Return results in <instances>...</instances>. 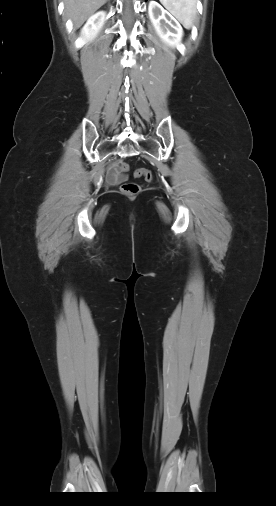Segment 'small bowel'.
<instances>
[{"label": "small bowel", "mask_w": 276, "mask_h": 506, "mask_svg": "<svg viewBox=\"0 0 276 506\" xmlns=\"http://www.w3.org/2000/svg\"><path fill=\"white\" fill-rule=\"evenodd\" d=\"M122 180H123V177L119 174V172L115 166H112L108 169L107 181L109 183H119Z\"/></svg>", "instance_id": "c3829d8e"}]
</instances>
